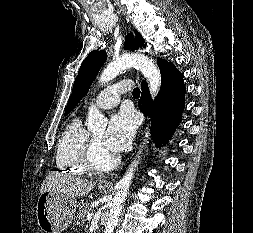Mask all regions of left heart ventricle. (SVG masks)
<instances>
[{
    "instance_id": "b2bd125f",
    "label": "left heart ventricle",
    "mask_w": 253,
    "mask_h": 233,
    "mask_svg": "<svg viewBox=\"0 0 253 233\" xmlns=\"http://www.w3.org/2000/svg\"><path fill=\"white\" fill-rule=\"evenodd\" d=\"M103 137H104V133L101 132V133H97V134H94L93 135V138L95 139V141L98 143L99 145V149H100V152H99V156L100 158L102 159H105L109 156H112L113 153L108 151L104 146H103V143H102V140H103Z\"/></svg>"
}]
</instances>
